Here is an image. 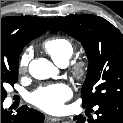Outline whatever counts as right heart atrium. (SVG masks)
I'll use <instances>...</instances> for the list:
<instances>
[{"mask_svg": "<svg viewBox=\"0 0 123 123\" xmlns=\"http://www.w3.org/2000/svg\"><path fill=\"white\" fill-rule=\"evenodd\" d=\"M30 57H31L30 51L25 52L20 57L19 63H18V71L20 73H23L27 70L28 64L30 62Z\"/></svg>", "mask_w": 123, "mask_h": 123, "instance_id": "d8ad5b80", "label": "right heart atrium"}]
</instances>
